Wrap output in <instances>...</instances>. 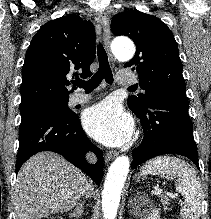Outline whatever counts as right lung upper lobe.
<instances>
[{"mask_svg": "<svg viewBox=\"0 0 211 219\" xmlns=\"http://www.w3.org/2000/svg\"><path fill=\"white\" fill-rule=\"evenodd\" d=\"M95 30L89 21L69 14L44 24L32 38L22 67L21 104L69 99L68 78L91 75ZM73 88H76L75 86Z\"/></svg>", "mask_w": 211, "mask_h": 219, "instance_id": "right-lung-upper-lobe-1", "label": "right lung upper lobe"}]
</instances>
